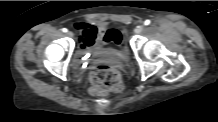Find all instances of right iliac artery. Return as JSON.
I'll use <instances>...</instances> for the list:
<instances>
[{"mask_svg": "<svg viewBox=\"0 0 218 122\" xmlns=\"http://www.w3.org/2000/svg\"><path fill=\"white\" fill-rule=\"evenodd\" d=\"M62 31H63V32H67V29H66V28H63Z\"/></svg>", "mask_w": 218, "mask_h": 122, "instance_id": "82829eb1", "label": "right iliac artery"}]
</instances>
